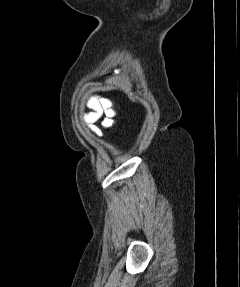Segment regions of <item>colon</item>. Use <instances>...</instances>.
Returning a JSON list of instances; mask_svg holds the SVG:
<instances>
[{
	"label": "colon",
	"mask_w": 240,
	"mask_h": 287,
	"mask_svg": "<svg viewBox=\"0 0 240 287\" xmlns=\"http://www.w3.org/2000/svg\"><path fill=\"white\" fill-rule=\"evenodd\" d=\"M97 102L102 110L104 119L102 121V126L104 128H111L115 125V117L117 115L116 111L112 108V103L106 98L97 99Z\"/></svg>",
	"instance_id": "1"
}]
</instances>
